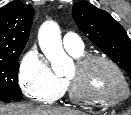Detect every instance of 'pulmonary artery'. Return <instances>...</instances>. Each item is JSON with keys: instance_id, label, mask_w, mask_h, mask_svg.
<instances>
[{"instance_id": "1", "label": "pulmonary artery", "mask_w": 131, "mask_h": 115, "mask_svg": "<svg viewBox=\"0 0 131 115\" xmlns=\"http://www.w3.org/2000/svg\"><path fill=\"white\" fill-rule=\"evenodd\" d=\"M63 45L70 53H79L84 49L82 39L74 33H66L63 37Z\"/></svg>"}]
</instances>
